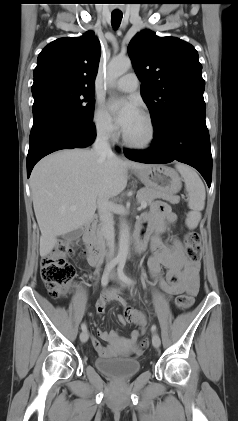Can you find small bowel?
Listing matches in <instances>:
<instances>
[{"mask_svg":"<svg viewBox=\"0 0 238 421\" xmlns=\"http://www.w3.org/2000/svg\"><path fill=\"white\" fill-rule=\"evenodd\" d=\"M177 216L170 207L163 202H157L151 210L144 214L138 222L137 231L150 241L152 255L148 260V267L152 277L168 297L187 294L192 298L196 295L199 285L200 263L191 261L184 249L181 239L173 236L171 245L163 242L161 236L173 227ZM166 268L164 276L162 269ZM115 302L122 308L118 319L120 323H135L141 327L140 331H132L128 338H122L116 331L98 330L101 340L110 344L103 346L96 338H92V345L100 356L112 357L115 350L112 345H121L124 354L134 351L135 344L144 331L147 317L144 313L130 308L121 295L119 288L113 287L106 290L96 304L98 314L105 312L109 303Z\"/></svg>","mask_w":238,"mask_h":421,"instance_id":"1","label":"small bowel"}]
</instances>
